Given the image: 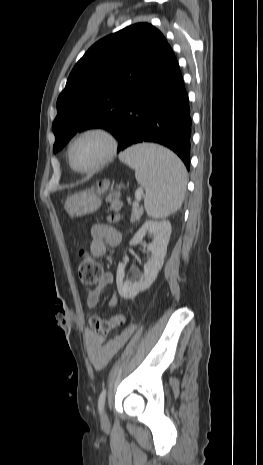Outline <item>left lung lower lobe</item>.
Wrapping results in <instances>:
<instances>
[{
	"label": "left lung lower lobe",
	"mask_w": 263,
	"mask_h": 465,
	"mask_svg": "<svg viewBox=\"0 0 263 465\" xmlns=\"http://www.w3.org/2000/svg\"><path fill=\"white\" fill-rule=\"evenodd\" d=\"M116 137L117 152L136 143H158L173 150L190 169L189 100L169 45L134 85Z\"/></svg>",
	"instance_id": "obj_1"
}]
</instances>
